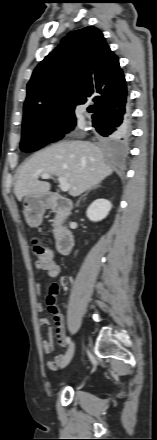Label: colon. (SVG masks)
Listing matches in <instances>:
<instances>
[{"instance_id":"1","label":"colon","mask_w":157,"mask_h":440,"mask_svg":"<svg viewBox=\"0 0 157 440\" xmlns=\"http://www.w3.org/2000/svg\"><path fill=\"white\" fill-rule=\"evenodd\" d=\"M33 250L35 255L37 256L36 265H45L52 260L49 249L41 245L37 240H34L33 242ZM57 292H58V285L53 284L50 287V295L48 297V304H50L51 306H55V295Z\"/></svg>"}]
</instances>
